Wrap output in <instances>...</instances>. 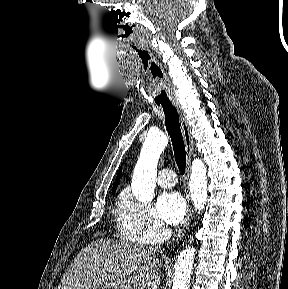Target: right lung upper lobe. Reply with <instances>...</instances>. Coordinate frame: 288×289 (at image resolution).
<instances>
[{"label":"right lung upper lobe","mask_w":288,"mask_h":289,"mask_svg":"<svg viewBox=\"0 0 288 289\" xmlns=\"http://www.w3.org/2000/svg\"><path fill=\"white\" fill-rule=\"evenodd\" d=\"M121 172H122V167H120V169H119V171H118V174H117L115 183H114V185H113L112 191L116 190V188H117V185H118L119 180H120V177H121Z\"/></svg>","instance_id":"obj_1"}]
</instances>
